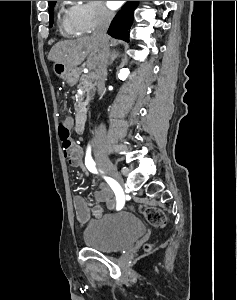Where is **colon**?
Returning a JSON list of instances; mask_svg holds the SVG:
<instances>
[{
    "mask_svg": "<svg viewBox=\"0 0 237 300\" xmlns=\"http://www.w3.org/2000/svg\"><path fill=\"white\" fill-rule=\"evenodd\" d=\"M58 132L64 151H69L77 145L76 141L71 136L70 130L64 125L63 122L60 123ZM139 211L145 216L146 220L154 227H163L166 223V217L163 211L156 207L141 205L139 207ZM145 249L149 251L150 246L147 245Z\"/></svg>",
    "mask_w": 237,
    "mask_h": 300,
    "instance_id": "colon-1",
    "label": "colon"
}]
</instances>
